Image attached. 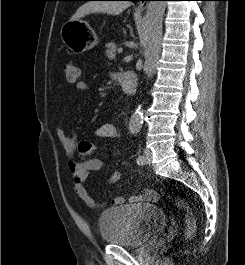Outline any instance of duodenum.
I'll list each match as a JSON object with an SVG mask.
<instances>
[{
  "instance_id": "410a0bca",
  "label": "duodenum",
  "mask_w": 245,
  "mask_h": 265,
  "mask_svg": "<svg viewBox=\"0 0 245 265\" xmlns=\"http://www.w3.org/2000/svg\"><path fill=\"white\" fill-rule=\"evenodd\" d=\"M117 83L122 86L125 93L134 95L137 89V75L132 71L118 72L115 75Z\"/></svg>"
}]
</instances>
